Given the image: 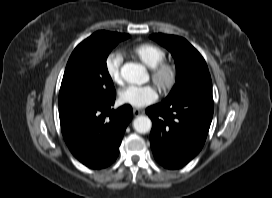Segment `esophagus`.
<instances>
[{
  "label": "esophagus",
  "instance_id": "esophagus-1",
  "mask_svg": "<svg viewBox=\"0 0 272 198\" xmlns=\"http://www.w3.org/2000/svg\"><path fill=\"white\" fill-rule=\"evenodd\" d=\"M133 114H134L135 117H137V116L143 114V110L138 109V108H134L133 109Z\"/></svg>",
  "mask_w": 272,
  "mask_h": 198
}]
</instances>
